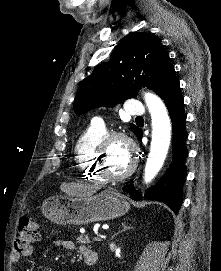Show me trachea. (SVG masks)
<instances>
[{"label":"trachea","mask_w":221,"mask_h":271,"mask_svg":"<svg viewBox=\"0 0 221 271\" xmlns=\"http://www.w3.org/2000/svg\"><path fill=\"white\" fill-rule=\"evenodd\" d=\"M136 118H138V119H143V116H137Z\"/></svg>","instance_id":"1"}]
</instances>
